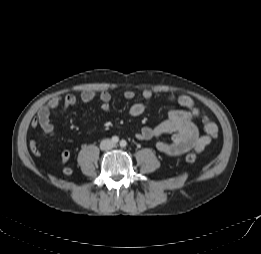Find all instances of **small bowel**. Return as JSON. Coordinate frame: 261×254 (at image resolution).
<instances>
[{
  "mask_svg": "<svg viewBox=\"0 0 261 254\" xmlns=\"http://www.w3.org/2000/svg\"><path fill=\"white\" fill-rule=\"evenodd\" d=\"M145 102L134 103L129 108V114L132 117L142 115L149 107L148 102L152 100L153 93L150 90H144L142 93ZM124 97L132 100L135 97L133 90H126ZM95 98L101 102L103 112L110 111L111 94L107 91L94 92L83 91L79 96L68 94L65 97H53L46 105L42 106L32 121V127H40L47 135L54 136L55 128L51 122L52 113L61 107L66 111L72 106L79 103H89ZM167 100L176 103L182 109H173L169 111L167 118L161 123L152 127H143L137 133L139 140H152L163 135H171L170 139H163L156 143L157 150L166 156H179L193 150L197 153L203 152L207 146L218 136V126L210 119L208 114L201 108L197 107L192 98L186 95L167 96ZM195 119L201 120L204 128V134H200L198 127L194 123ZM29 148L35 156L40 155L39 145L36 140L32 139ZM70 159L68 150H62L60 153V163L65 164ZM64 174L70 175L72 170L64 168Z\"/></svg>",
  "mask_w": 261,
  "mask_h": 254,
  "instance_id": "obj_1",
  "label": "small bowel"
}]
</instances>
